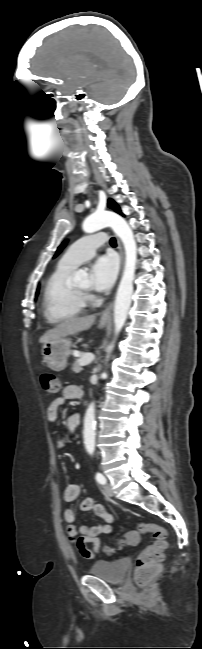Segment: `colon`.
<instances>
[{
	"instance_id": "5ec220e1",
	"label": "colon",
	"mask_w": 202,
	"mask_h": 649,
	"mask_svg": "<svg viewBox=\"0 0 202 649\" xmlns=\"http://www.w3.org/2000/svg\"><path fill=\"white\" fill-rule=\"evenodd\" d=\"M41 386L45 392L56 394L60 391L61 381L59 377L52 372H43L41 377ZM140 534H151L155 538L154 544L143 549L136 558L135 577L139 584H145L156 576L163 562V551L167 547L166 530L154 523H139L136 530L125 533L118 545L135 544ZM113 547L107 546L105 552L110 554Z\"/></svg>"
}]
</instances>
